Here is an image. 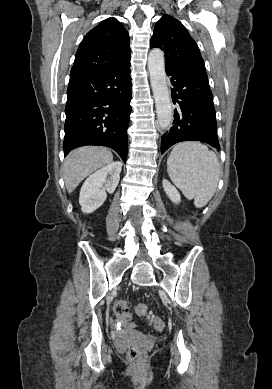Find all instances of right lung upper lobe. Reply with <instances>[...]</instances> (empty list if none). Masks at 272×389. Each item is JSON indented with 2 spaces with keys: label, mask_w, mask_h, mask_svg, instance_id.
Instances as JSON below:
<instances>
[{
  "label": "right lung upper lobe",
  "mask_w": 272,
  "mask_h": 389,
  "mask_svg": "<svg viewBox=\"0 0 272 389\" xmlns=\"http://www.w3.org/2000/svg\"><path fill=\"white\" fill-rule=\"evenodd\" d=\"M130 39L115 18H107L89 31L77 50L70 78L104 71L130 59Z\"/></svg>",
  "instance_id": "1"
}]
</instances>
